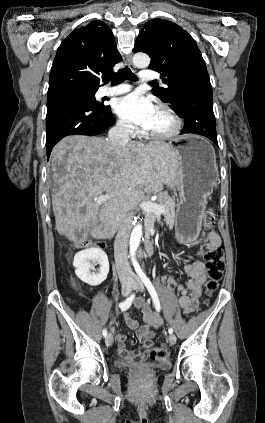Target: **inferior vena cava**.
Instances as JSON below:
<instances>
[{
    "label": "inferior vena cava",
    "instance_id": "inferior-vena-cava-1",
    "mask_svg": "<svg viewBox=\"0 0 265 423\" xmlns=\"http://www.w3.org/2000/svg\"><path fill=\"white\" fill-rule=\"evenodd\" d=\"M131 127L128 123L119 121L108 132V142L119 147L126 146L130 141ZM132 229V216L127 214L119 227L114 242V258L120 280L131 278L133 272L128 262L127 248Z\"/></svg>",
    "mask_w": 265,
    "mask_h": 423
}]
</instances>
